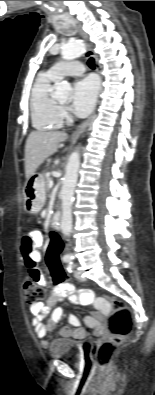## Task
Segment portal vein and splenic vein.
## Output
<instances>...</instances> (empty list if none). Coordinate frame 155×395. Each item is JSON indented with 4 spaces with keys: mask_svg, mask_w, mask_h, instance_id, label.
Wrapping results in <instances>:
<instances>
[{
    "mask_svg": "<svg viewBox=\"0 0 155 395\" xmlns=\"http://www.w3.org/2000/svg\"><path fill=\"white\" fill-rule=\"evenodd\" d=\"M48 185H49V188H52L53 187V181L50 180Z\"/></svg>",
    "mask_w": 155,
    "mask_h": 395,
    "instance_id": "18ae733b",
    "label": "portal vein and splenic vein"
}]
</instances>
